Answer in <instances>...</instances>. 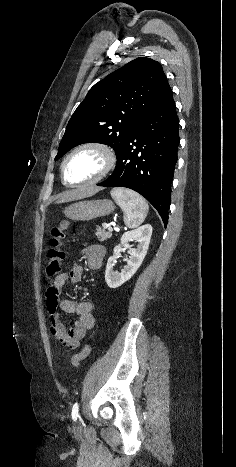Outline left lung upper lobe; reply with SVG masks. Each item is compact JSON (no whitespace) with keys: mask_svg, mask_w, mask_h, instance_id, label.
<instances>
[{"mask_svg":"<svg viewBox=\"0 0 236 467\" xmlns=\"http://www.w3.org/2000/svg\"><path fill=\"white\" fill-rule=\"evenodd\" d=\"M159 62L137 58L95 84L69 120L55 160L87 142L118 155L131 130L170 90Z\"/></svg>","mask_w":236,"mask_h":467,"instance_id":"1","label":"left lung upper lobe"}]
</instances>
